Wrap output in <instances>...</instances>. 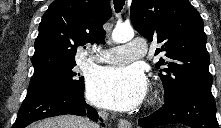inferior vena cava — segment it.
Listing matches in <instances>:
<instances>
[{
    "label": "inferior vena cava",
    "instance_id": "inferior-vena-cava-1",
    "mask_svg": "<svg viewBox=\"0 0 221 128\" xmlns=\"http://www.w3.org/2000/svg\"><path fill=\"white\" fill-rule=\"evenodd\" d=\"M89 128H99V125L96 124V123H91V122H90Z\"/></svg>",
    "mask_w": 221,
    "mask_h": 128
}]
</instances>
